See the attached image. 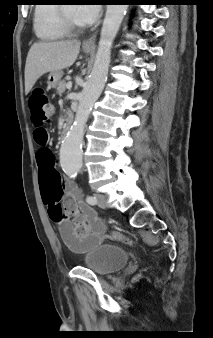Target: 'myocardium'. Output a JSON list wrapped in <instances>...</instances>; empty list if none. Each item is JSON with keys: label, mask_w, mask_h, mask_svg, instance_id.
<instances>
[{"label": "myocardium", "mask_w": 213, "mask_h": 338, "mask_svg": "<svg viewBox=\"0 0 213 338\" xmlns=\"http://www.w3.org/2000/svg\"><path fill=\"white\" fill-rule=\"evenodd\" d=\"M59 6L60 25L66 34H75L85 29V26L77 23L66 11V5Z\"/></svg>", "instance_id": "myocardium-1"}]
</instances>
